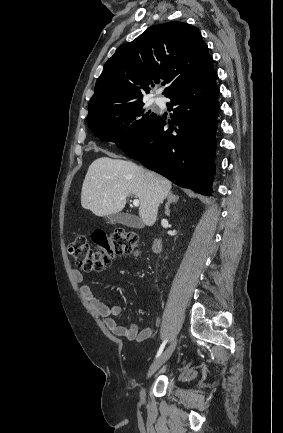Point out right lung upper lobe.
<instances>
[{
	"label": "right lung upper lobe",
	"instance_id": "obj_1",
	"mask_svg": "<svg viewBox=\"0 0 283 433\" xmlns=\"http://www.w3.org/2000/svg\"><path fill=\"white\" fill-rule=\"evenodd\" d=\"M217 74L200 33L187 23L152 26L134 41L121 45L105 63L90 99L89 115L137 100L160 79L165 96L186 90Z\"/></svg>",
	"mask_w": 283,
	"mask_h": 433
}]
</instances>
